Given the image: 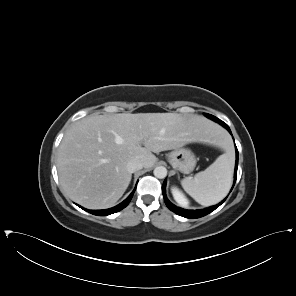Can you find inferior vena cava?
Returning <instances> with one entry per match:
<instances>
[{
    "label": "inferior vena cava",
    "mask_w": 296,
    "mask_h": 296,
    "mask_svg": "<svg viewBox=\"0 0 296 296\" xmlns=\"http://www.w3.org/2000/svg\"><path fill=\"white\" fill-rule=\"evenodd\" d=\"M143 168V163L140 160L133 159L128 162L127 169L129 172L134 173Z\"/></svg>",
    "instance_id": "obj_1"
}]
</instances>
